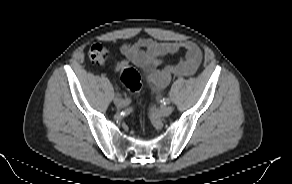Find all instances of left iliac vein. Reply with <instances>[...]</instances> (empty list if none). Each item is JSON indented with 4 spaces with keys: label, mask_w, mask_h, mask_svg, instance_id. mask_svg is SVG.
Instances as JSON below:
<instances>
[{
    "label": "left iliac vein",
    "mask_w": 292,
    "mask_h": 184,
    "mask_svg": "<svg viewBox=\"0 0 292 184\" xmlns=\"http://www.w3.org/2000/svg\"><path fill=\"white\" fill-rule=\"evenodd\" d=\"M172 111H173L172 106H166L160 110V115L163 117H168L172 113Z\"/></svg>",
    "instance_id": "left-iliac-vein-1"
}]
</instances>
